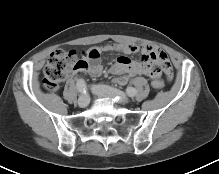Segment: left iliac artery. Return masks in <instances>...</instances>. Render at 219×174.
<instances>
[{"label":"left iliac artery","instance_id":"44dca946","mask_svg":"<svg viewBox=\"0 0 219 174\" xmlns=\"http://www.w3.org/2000/svg\"><path fill=\"white\" fill-rule=\"evenodd\" d=\"M126 93H127L130 97H133V96L136 95L137 90H136L135 88H133V87H128V88L126 89Z\"/></svg>","mask_w":219,"mask_h":174}]
</instances>
